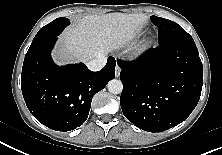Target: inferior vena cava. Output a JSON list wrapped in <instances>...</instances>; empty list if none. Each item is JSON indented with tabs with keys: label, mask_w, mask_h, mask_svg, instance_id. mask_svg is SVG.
<instances>
[{
	"label": "inferior vena cava",
	"mask_w": 222,
	"mask_h": 155,
	"mask_svg": "<svg viewBox=\"0 0 222 155\" xmlns=\"http://www.w3.org/2000/svg\"><path fill=\"white\" fill-rule=\"evenodd\" d=\"M107 58L104 55H100L97 58H94L86 63L87 67L91 71H99L106 64Z\"/></svg>",
	"instance_id": "602c4592"
}]
</instances>
